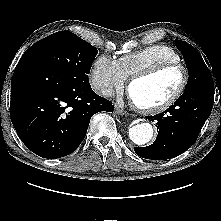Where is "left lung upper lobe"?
Instances as JSON below:
<instances>
[{"mask_svg":"<svg viewBox=\"0 0 221 221\" xmlns=\"http://www.w3.org/2000/svg\"><path fill=\"white\" fill-rule=\"evenodd\" d=\"M175 45L181 51L189 73L184 93L202 85L213 83L210 71L200 53L192 45L181 40L176 39Z\"/></svg>","mask_w":221,"mask_h":221,"instance_id":"left-lung-upper-lobe-1","label":"left lung upper lobe"}]
</instances>
